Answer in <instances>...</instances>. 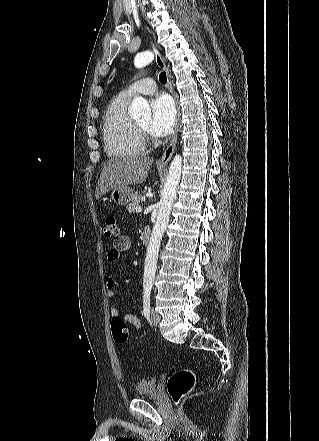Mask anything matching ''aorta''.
<instances>
[{
    "label": "aorta",
    "mask_w": 319,
    "mask_h": 441,
    "mask_svg": "<svg viewBox=\"0 0 319 441\" xmlns=\"http://www.w3.org/2000/svg\"><path fill=\"white\" fill-rule=\"evenodd\" d=\"M153 59L154 54L150 51H145L135 56L134 65L136 68H142L150 64ZM129 115L133 119L150 120L151 110L146 99L143 97L134 98L129 107ZM181 171L182 157L181 155L176 154L170 164L167 180L162 192L161 200L159 202L157 220L154 224L149 245L147 247L143 276L144 287H152L154 282L160 243L163 233L168 225L170 211L176 198V192L181 178Z\"/></svg>",
    "instance_id": "1"
}]
</instances>
